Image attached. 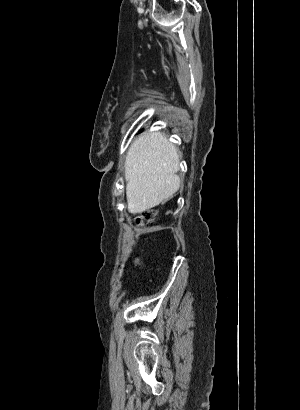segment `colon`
<instances>
[{
    "mask_svg": "<svg viewBox=\"0 0 300 410\" xmlns=\"http://www.w3.org/2000/svg\"><path fill=\"white\" fill-rule=\"evenodd\" d=\"M154 220V215L150 212L143 214L139 218H137L136 223L138 225H145L146 223H150Z\"/></svg>",
    "mask_w": 300,
    "mask_h": 410,
    "instance_id": "colon-1",
    "label": "colon"
}]
</instances>
